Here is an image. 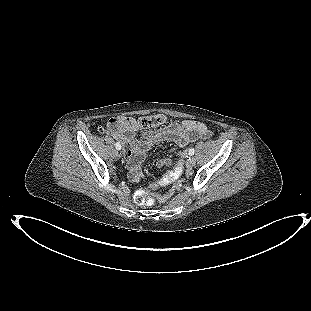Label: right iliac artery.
<instances>
[{"mask_svg": "<svg viewBox=\"0 0 311 311\" xmlns=\"http://www.w3.org/2000/svg\"><path fill=\"white\" fill-rule=\"evenodd\" d=\"M115 147H116V149L120 150V149H121V145H120V143H119V142H117V143L115 144Z\"/></svg>", "mask_w": 311, "mask_h": 311, "instance_id": "1", "label": "right iliac artery"}]
</instances>
